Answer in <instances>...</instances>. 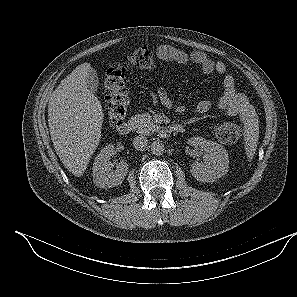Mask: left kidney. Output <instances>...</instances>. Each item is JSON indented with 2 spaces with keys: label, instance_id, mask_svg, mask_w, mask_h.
<instances>
[{
  "label": "left kidney",
  "instance_id": "1",
  "mask_svg": "<svg viewBox=\"0 0 297 297\" xmlns=\"http://www.w3.org/2000/svg\"><path fill=\"white\" fill-rule=\"evenodd\" d=\"M189 145L204 149V163L194 162L190 172L200 182H214L228 172L229 156L226 149L213 141L195 136L188 140Z\"/></svg>",
  "mask_w": 297,
  "mask_h": 297
}]
</instances>
